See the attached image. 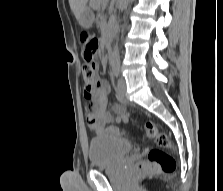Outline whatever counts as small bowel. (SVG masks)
I'll return each instance as SVG.
<instances>
[{"mask_svg": "<svg viewBox=\"0 0 223 191\" xmlns=\"http://www.w3.org/2000/svg\"><path fill=\"white\" fill-rule=\"evenodd\" d=\"M109 93L110 85L102 79L86 83L83 88V94L88 99L86 104L88 126L96 134L104 133L105 127L113 122H127L129 118V113L121 102L112 105L114 115L108 111Z\"/></svg>", "mask_w": 223, "mask_h": 191, "instance_id": "1", "label": "small bowel"}]
</instances>
